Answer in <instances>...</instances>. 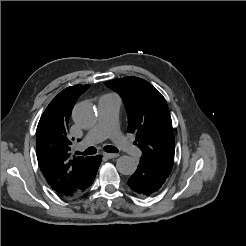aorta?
Returning <instances> with one entry per match:
<instances>
[{"label": "aorta", "instance_id": "762f6f07", "mask_svg": "<svg viewBox=\"0 0 246 246\" xmlns=\"http://www.w3.org/2000/svg\"><path fill=\"white\" fill-rule=\"evenodd\" d=\"M73 120L83 128L92 127L97 120V113L92 103L81 102L73 109ZM117 170L123 175H131L135 172L137 164L135 160L127 155L120 156L116 162Z\"/></svg>", "mask_w": 246, "mask_h": 246}]
</instances>
